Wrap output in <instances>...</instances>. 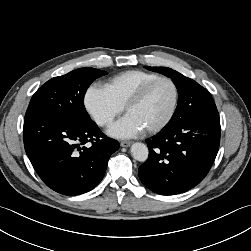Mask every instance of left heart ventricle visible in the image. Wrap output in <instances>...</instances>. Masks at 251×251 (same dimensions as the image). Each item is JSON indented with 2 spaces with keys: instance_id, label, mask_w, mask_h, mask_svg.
<instances>
[{
  "instance_id": "obj_1",
  "label": "left heart ventricle",
  "mask_w": 251,
  "mask_h": 251,
  "mask_svg": "<svg viewBox=\"0 0 251 251\" xmlns=\"http://www.w3.org/2000/svg\"><path fill=\"white\" fill-rule=\"evenodd\" d=\"M173 102V89L166 81L156 83L144 99L131 107L127 114L132 116L144 130L162 122L168 115Z\"/></svg>"
}]
</instances>
